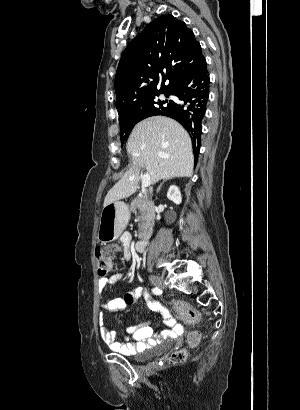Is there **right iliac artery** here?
<instances>
[{"label": "right iliac artery", "mask_w": 300, "mask_h": 410, "mask_svg": "<svg viewBox=\"0 0 300 410\" xmlns=\"http://www.w3.org/2000/svg\"><path fill=\"white\" fill-rule=\"evenodd\" d=\"M152 292H153L155 295H161V294H162V290H161L160 288H158V287L153 288V289H152Z\"/></svg>", "instance_id": "1"}]
</instances>
